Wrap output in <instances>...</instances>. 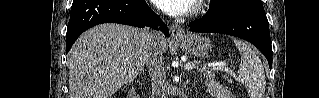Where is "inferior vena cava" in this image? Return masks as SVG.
Masks as SVG:
<instances>
[{
	"label": "inferior vena cava",
	"instance_id": "1",
	"mask_svg": "<svg viewBox=\"0 0 319 98\" xmlns=\"http://www.w3.org/2000/svg\"><path fill=\"white\" fill-rule=\"evenodd\" d=\"M148 31L147 68L152 85L151 98H167L168 88L162 63V48L164 36L160 31Z\"/></svg>",
	"mask_w": 319,
	"mask_h": 98
}]
</instances>
